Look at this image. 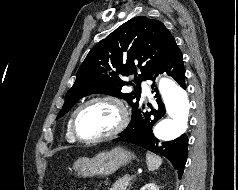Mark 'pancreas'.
Returning <instances> with one entry per match:
<instances>
[{
    "label": "pancreas",
    "instance_id": "cf45deb5",
    "mask_svg": "<svg viewBox=\"0 0 238 190\" xmlns=\"http://www.w3.org/2000/svg\"><path fill=\"white\" fill-rule=\"evenodd\" d=\"M131 178L124 176L119 178L109 190H126L130 186Z\"/></svg>",
    "mask_w": 238,
    "mask_h": 190
}]
</instances>
